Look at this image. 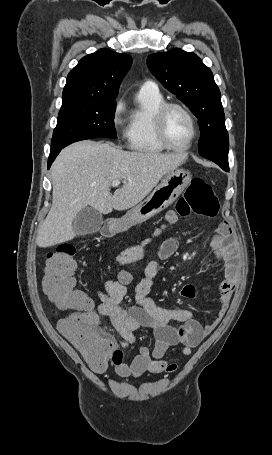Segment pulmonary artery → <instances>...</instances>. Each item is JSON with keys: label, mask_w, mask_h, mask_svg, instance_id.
I'll list each match as a JSON object with an SVG mask.
<instances>
[{"label": "pulmonary artery", "mask_w": 272, "mask_h": 455, "mask_svg": "<svg viewBox=\"0 0 272 455\" xmlns=\"http://www.w3.org/2000/svg\"><path fill=\"white\" fill-rule=\"evenodd\" d=\"M141 89L143 90H150V91H157L158 87L153 81H146L142 84Z\"/></svg>", "instance_id": "pulmonary-artery-1"}]
</instances>
